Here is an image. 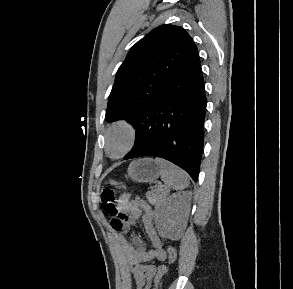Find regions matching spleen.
<instances>
[{
  "instance_id": "1",
  "label": "spleen",
  "mask_w": 293,
  "mask_h": 289,
  "mask_svg": "<svg viewBox=\"0 0 293 289\" xmlns=\"http://www.w3.org/2000/svg\"><path fill=\"white\" fill-rule=\"evenodd\" d=\"M155 162L160 168L161 180L167 187L173 190H183L188 187L189 180L186 172L161 158H156Z\"/></svg>"
}]
</instances>
